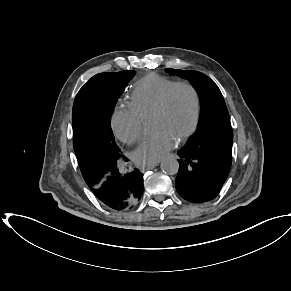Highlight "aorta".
Here are the masks:
<instances>
[{"label": "aorta", "mask_w": 291, "mask_h": 291, "mask_svg": "<svg viewBox=\"0 0 291 291\" xmlns=\"http://www.w3.org/2000/svg\"><path fill=\"white\" fill-rule=\"evenodd\" d=\"M161 170L164 173L173 175L176 174L178 172L179 169V163L175 158H166L161 162Z\"/></svg>", "instance_id": "1"}]
</instances>
